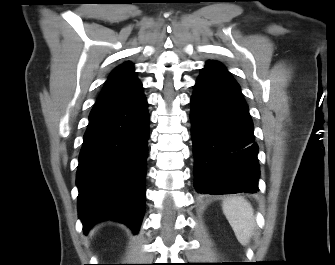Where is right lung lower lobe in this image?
<instances>
[{
	"instance_id": "obj_1",
	"label": "right lung lower lobe",
	"mask_w": 335,
	"mask_h": 265,
	"mask_svg": "<svg viewBox=\"0 0 335 265\" xmlns=\"http://www.w3.org/2000/svg\"><path fill=\"white\" fill-rule=\"evenodd\" d=\"M149 115L143 92L94 105L83 138L76 184L84 233L112 219L137 233L145 208Z\"/></svg>"
}]
</instances>
